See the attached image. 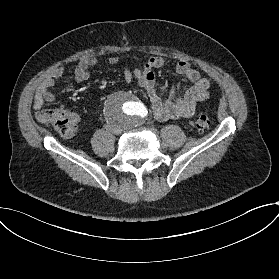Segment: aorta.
<instances>
[{
	"label": "aorta",
	"mask_w": 279,
	"mask_h": 279,
	"mask_svg": "<svg viewBox=\"0 0 279 279\" xmlns=\"http://www.w3.org/2000/svg\"><path fill=\"white\" fill-rule=\"evenodd\" d=\"M141 103L128 92L113 95L105 108L106 116L122 127L134 125L141 118Z\"/></svg>",
	"instance_id": "1"
}]
</instances>
